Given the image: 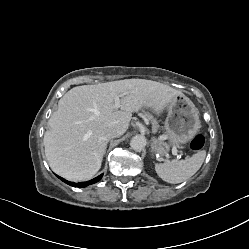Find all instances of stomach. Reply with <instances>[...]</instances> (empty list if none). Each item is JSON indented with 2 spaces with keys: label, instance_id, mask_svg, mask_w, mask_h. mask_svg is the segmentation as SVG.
<instances>
[{
  "label": "stomach",
  "instance_id": "obj_1",
  "mask_svg": "<svg viewBox=\"0 0 249 249\" xmlns=\"http://www.w3.org/2000/svg\"><path fill=\"white\" fill-rule=\"evenodd\" d=\"M198 114L197 109L187 97L184 95L175 96L168 108L165 137L153 139L152 151L160 156H166L171 145L179 146L189 142L200 128Z\"/></svg>",
  "mask_w": 249,
  "mask_h": 249
}]
</instances>
